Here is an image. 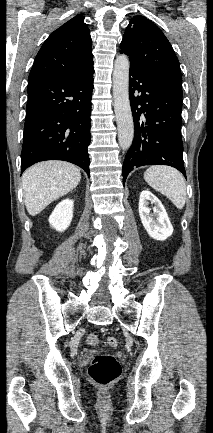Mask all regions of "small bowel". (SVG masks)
Here are the masks:
<instances>
[{
	"mask_svg": "<svg viewBox=\"0 0 213 433\" xmlns=\"http://www.w3.org/2000/svg\"><path fill=\"white\" fill-rule=\"evenodd\" d=\"M87 342L89 344H95L97 342L96 336L94 334L89 335L87 338Z\"/></svg>",
	"mask_w": 213,
	"mask_h": 433,
	"instance_id": "obj_1",
	"label": "small bowel"
}]
</instances>
